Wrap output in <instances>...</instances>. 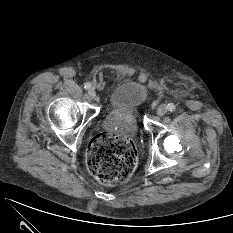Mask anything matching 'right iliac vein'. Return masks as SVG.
Wrapping results in <instances>:
<instances>
[{"instance_id": "63e3f726", "label": "right iliac vein", "mask_w": 233, "mask_h": 233, "mask_svg": "<svg viewBox=\"0 0 233 233\" xmlns=\"http://www.w3.org/2000/svg\"><path fill=\"white\" fill-rule=\"evenodd\" d=\"M88 95L90 98L94 99L96 97V91L94 89H90L88 91Z\"/></svg>"}]
</instances>
